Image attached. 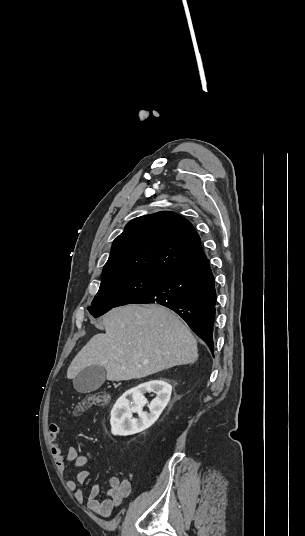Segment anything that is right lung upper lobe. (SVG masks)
Listing matches in <instances>:
<instances>
[{
    "instance_id": "obj_1",
    "label": "right lung upper lobe",
    "mask_w": 305,
    "mask_h": 536,
    "mask_svg": "<svg viewBox=\"0 0 305 536\" xmlns=\"http://www.w3.org/2000/svg\"><path fill=\"white\" fill-rule=\"evenodd\" d=\"M204 258L192 224L173 212H158L126 225L113 242L102 279L130 273L168 275Z\"/></svg>"
}]
</instances>
